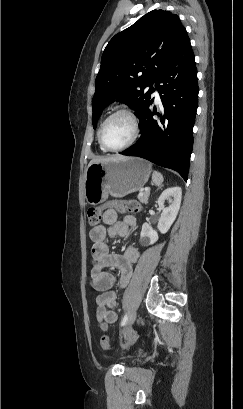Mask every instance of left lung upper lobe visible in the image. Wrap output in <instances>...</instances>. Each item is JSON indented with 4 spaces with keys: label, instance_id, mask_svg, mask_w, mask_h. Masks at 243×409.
Masks as SVG:
<instances>
[{
    "label": "left lung upper lobe",
    "instance_id": "1",
    "mask_svg": "<svg viewBox=\"0 0 243 409\" xmlns=\"http://www.w3.org/2000/svg\"><path fill=\"white\" fill-rule=\"evenodd\" d=\"M188 39L179 17L166 10H152L116 34L103 52L95 81L94 129L103 108L115 98L139 116L153 83Z\"/></svg>",
    "mask_w": 243,
    "mask_h": 409
}]
</instances>
